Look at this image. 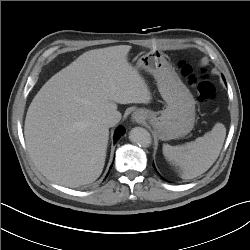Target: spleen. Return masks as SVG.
Returning a JSON list of instances; mask_svg holds the SVG:
<instances>
[{
  "label": "spleen",
  "mask_w": 250,
  "mask_h": 250,
  "mask_svg": "<svg viewBox=\"0 0 250 250\" xmlns=\"http://www.w3.org/2000/svg\"><path fill=\"white\" fill-rule=\"evenodd\" d=\"M226 137V128L216 123L210 132L181 146L163 145L164 157L181 170L183 179H193L206 172L218 158Z\"/></svg>",
  "instance_id": "obj_1"
}]
</instances>
